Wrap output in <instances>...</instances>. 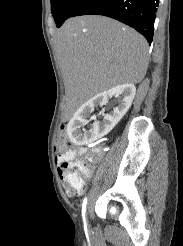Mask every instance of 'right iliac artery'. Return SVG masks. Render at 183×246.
I'll use <instances>...</instances> for the list:
<instances>
[{
	"instance_id": "82829eb1",
	"label": "right iliac artery",
	"mask_w": 183,
	"mask_h": 246,
	"mask_svg": "<svg viewBox=\"0 0 183 246\" xmlns=\"http://www.w3.org/2000/svg\"><path fill=\"white\" fill-rule=\"evenodd\" d=\"M86 205H87V197L84 198L83 204H82V217H83L85 228L87 227V222H86V217H85V214H86Z\"/></svg>"
}]
</instances>
